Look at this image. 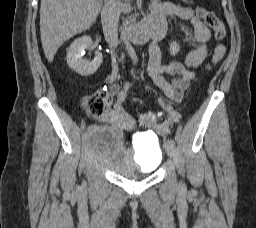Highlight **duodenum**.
<instances>
[{"mask_svg":"<svg viewBox=\"0 0 256 228\" xmlns=\"http://www.w3.org/2000/svg\"><path fill=\"white\" fill-rule=\"evenodd\" d=\"M161 37V30L157 26L150 23L148 20H144L132 27L125 34L124 39L135 44H143L151 39H159Z\"/></svg>","mask_w":256,"mask_h":228,"instance_id":"obj_1","label":"duodenum"}]
</instances>
